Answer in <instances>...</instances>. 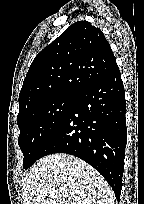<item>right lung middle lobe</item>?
<instances>
[{
	"label": "right lung middle lobe",
	"instance_id": "right-lung-middle-lobe-1",
	"mask_svg": "<svg viewBox=\"0 0 144 204\" xmlns=\"http://www.w3.org/2000/svg\"><path fill=\"white\" fill-rule=\"evenodd\" d=\"M76 95L62 94L37 103L18 114V144L24 155L25 169L40 158L47 140L65 119Z\"/></svg>",
	"mask_w": 144,
	"mask_h": 204
}]
</instances>
